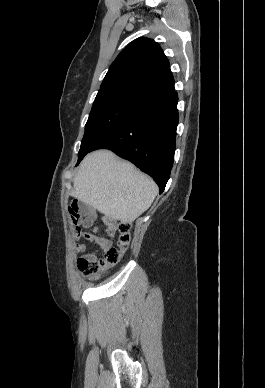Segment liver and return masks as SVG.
<instances>
[{
    "label": "liver",
    "instance_id": "obj_1",
    "mask_svg": "<svg viewBox=\"0 0 265 388\" xmlns=\"http://www.w3.org/2000/svg\"><path fill=\"white\" fill-rule=\"evenodd\" d=\"M73 186L74 198L122 224H132L150 208L158 194L152 178L109 150L85 156Z\"/></svg>",
    "mask_w": 265,
    "mask_h": 388
}]
</instances>
